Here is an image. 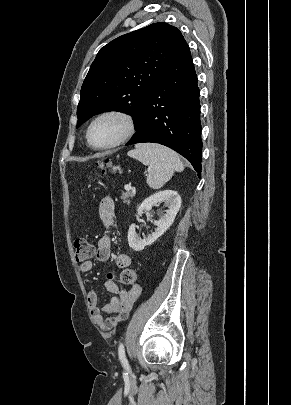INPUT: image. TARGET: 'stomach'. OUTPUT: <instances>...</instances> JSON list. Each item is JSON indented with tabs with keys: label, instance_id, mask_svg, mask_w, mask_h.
Listing matches in <instances>:
<instances>
[{
	"label": "stomach",
	"instance_id": "obj_1",
	"mask_svg": "<svg viewBox=\"0 0 291 405\" xmlns=\"http://www.w3.org/2000/svg\"><path fill=\"white\" fill-rule=\"evenodd\" d=\"M118 169V167H115L113 170L116 171Z\"/></svg>",
	"mask_w": 291,
	"mask_h": 405
}]
</instances>
